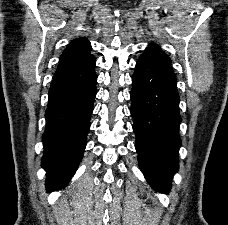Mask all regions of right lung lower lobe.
Wrapping results in <instances>:
<instances>
[{"mask_svg":"<svg viewBox=\"0 0 228 225\" xmlns=\"http://www.w3.org/2000/svg\"><path fill=\"white\" fill-rule=\"evenodd\" d=\"M95 57L58 65L49 89L42 167L46 188H63L82 159L96 95Z\"/></svg>","mask_w":228,"mask_h":225,"instance_id":"98d812e1","label":"right lung lower lobe"}]
</instances>
